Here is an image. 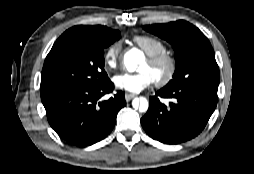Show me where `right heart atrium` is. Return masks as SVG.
Masks as SVG:
<instances>
[{
    "instance_id": "d8ad5b80",
    "label": "right heart atrium",
    "mask_w": 254,
    "mask_h": 174,
    "mask_svg": "<svg viewBox=\"0 0 254 174\" xmlns=\"http://www.w3.org/2000/svg\"><path fill=\"white\" fill-rule=\"evenodd\" d=\"M121 44L114 42L110 44L104 51L103 61L106 67L115 68L120 58Z\"/></svg>"
}]
</instances>
